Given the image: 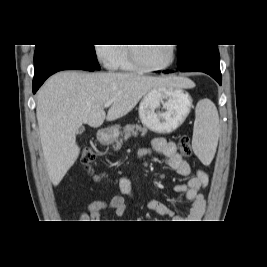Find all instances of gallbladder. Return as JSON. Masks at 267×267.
<instances>
[{"mask_svg": "<svg viewBox=\"0 0 267 267\" xmlns=\"http://www.w3.org/2000/svg\"><path fill=\"white\" fill-rule=\"evenodd\" d=\"M84 130H85V128H84L83 126H81V127L77 130V134H81Z\"/></svg>", "mask_w": 267, "mask_h": 267, "instance_id": "obj_1", "label": "gallbladder"}]
</instances>
